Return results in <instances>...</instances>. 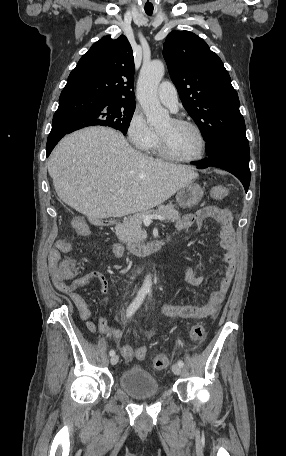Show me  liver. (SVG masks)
Returning <instances> with one entry per match:
<instances>
[{"label": "liver", "instance_id": "6515ba94", "mask_svg": "<svg viewBox=\"0 0 286 456\" xmlns=\"http://www.w3.org/2000/svg\"><path fill=\"white\" fill-rule=\"evenodd\" d=\"M48 172L59 198L90 222L147 211L198 177L189 166L133 149L106 127L64 137L50 155Z\"/></svg>", "mask_w": 286, "mask_h": 456}]
</instances>
